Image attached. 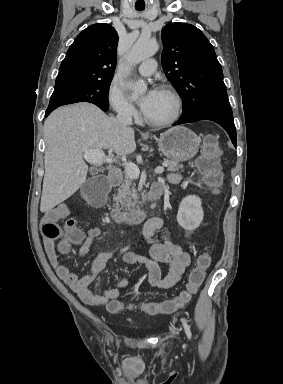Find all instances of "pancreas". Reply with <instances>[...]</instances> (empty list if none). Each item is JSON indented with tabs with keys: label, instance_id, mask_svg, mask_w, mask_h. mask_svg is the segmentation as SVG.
Instances as JSON below:
<instances>
[{
	"label": "pancreas",
	"instance_id": "pancreas-1",
	"mask_svg": "<svg viewBox=\"0 0 283 384\" xmlns=\"http://www.w3.org/2000/svg\"><path fill=\"white\" fill-rule=\"evenodd\" d=\"M164 168H167V172H179L182 170V164H177V162H170V160H164ZM108 176L111 178H119L121 180V186L117 188V194H114L113 208L116 210H123V216L129 214V212H134L132 208H135L138 204V190H136V184H133V180L127 176L126 172H121L119 168H114V170H109Z\"/></svg>",
	"mask_w": 283,
	"mask_h": 384
}]
</instances>
